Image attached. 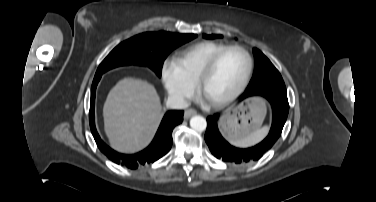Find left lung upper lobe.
<instances>
[{
    "label": "left lung upper lobe",
    "instance_id": "left-lung-upper-lobe-1",
    "mask_svg": "<svg viewBox=\"0 0 376 202\" xmlns=\"http://www.w3.org/2000/svg\"><path fill=\"white\" fill-rule=\"evenodd\" d=\"M203 37L205 39H217L222 38V35L203 34ZM253 53L255 56L256 68L243 96H251L267 91L287 95L286 87L279 71L260 50L254 48Z\"/></svg>",
    "mask_w": 376,
    "mask_h": 202
}]
</instances>
